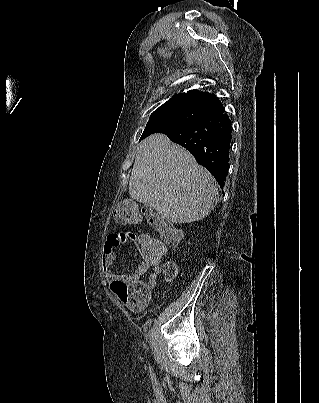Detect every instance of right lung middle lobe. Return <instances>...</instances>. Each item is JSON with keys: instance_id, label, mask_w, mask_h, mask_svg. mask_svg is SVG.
I'll list each match as a JSON object with an SVG mask.
<instances>
[{"instance_id": "obj_1", "label": "right lung middle lobe", "mask_w": 319, "mask_h": 403, "mask_svg": "<svg viewBox=\"0 0 319 403\" xmlns=\"http://www.w3.org/2000/svg\"><path fill=\"white\" fill-rule=\"evenodd\" d=\"M210 114L212 111L209 108L195 103H165L152 113L140 140L161 129L186 125Z\"/></svg>"}]
</instances>
